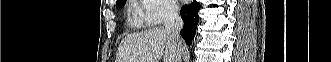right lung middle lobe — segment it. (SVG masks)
Here are the masks:
<instances>
[{"label":"right lung middle lobe","instance_id":"dd1d6c3e","mask_svg":"<svg viewBox=\"0 0 331 62\" xmlns=\"http://www.w3.org/2000/svg\"><path fill=\"white\" fill-rule=\"evenodd\" d=\"M124 5H125L124 0L121 1V2L116 3V6H117V7H122V6H124Z\"/></svg>","mask_w":331,"mask_h":62}]
</instances>
